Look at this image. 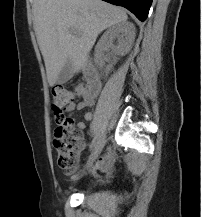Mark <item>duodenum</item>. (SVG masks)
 I'll use <instances>...</instances> for the list:
<instances>
[{
  "label": "duodenum",
  "mask_w": 202,
  "mask_h": 217,
  "mask_svg": "<svg viewBox=\"0 0 202 217\" xmlns=\"http://www.w3.org/2000/svg\"><path fill=\"white\" fill-rule=\"evenodd\" d=\"M85 87L87 92L92 95L98 93L101 87V83L96 72L90 67L87 69V83Z\"/></svg>",
  "instance_id": "duodenum-1"
}]
</instances>
